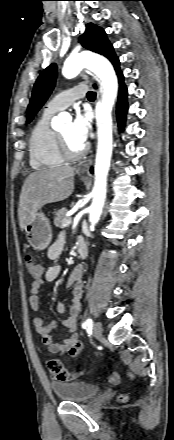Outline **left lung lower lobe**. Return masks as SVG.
Instances as JSON below:
<instances>
[{
    "label": "left lung lower lobe",
    "instance_id": "left-lung-lower-lobe-1",
    "mask_svg": "<svg viewBox=\"0 0 174 440\" xmlns=\"http://www.w3.org/2000/svg\"><path fill=\"white\" fill-rule=\"evenodd\" d=\"M110 61L114 65V68H115L116 73L119 78L120 88H119V95H118V103H117L116 112H117V120H118L119 128H120V130H123L124 124H125V119H126V113L128 110L127 88H126L124 81H123V74L119 68V59L115 55L110 59Z\"/></svg>",
    "mask_w": 174,
    "mask_h": 440
}]
</instances>
